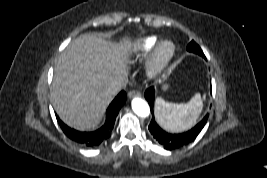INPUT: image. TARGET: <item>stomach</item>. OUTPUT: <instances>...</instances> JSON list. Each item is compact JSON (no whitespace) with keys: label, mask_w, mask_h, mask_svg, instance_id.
<instances>
[{"label":"stomach","mask_w":267,"mask_h":178,"mask_svg":"<svg viewBox=\"0 0 267 178\" xmlns=\"http://www.w3.org/2000/svg\"><path fill=\"white\" fill-rule=\"evenodd\" d=\"M162 89H163L164 91L168 90V89H169V85H168V84H164V85L162 86Z\"/></svg>","instance_id":"obj_1"}]
</instances>
